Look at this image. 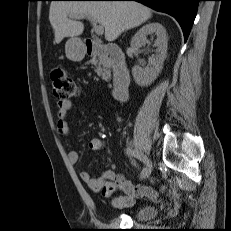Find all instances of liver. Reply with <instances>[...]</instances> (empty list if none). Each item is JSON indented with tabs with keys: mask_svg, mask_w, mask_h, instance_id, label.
I'll use <instances>...</instances> for the list:
<instances>
[{
	"mask_svg": "<svg viewBox=\"0 0 231 231\" xmlns=\"http://www.w3.org/2000/svg\"><path fill=\"white\" fill-rule=\"evenodd\" d=\"M79 14L92 17L103 26L109 42L146 22L152 15L148 7L133 1H52L49 21L57 44L65 37L83 33L84 24L71 19Z\"/></svg>",
	"mask_w": 231,
	"mask_h": 231,
	"instance_id": "liver-1",
	"label": "liver"
}]
</instances>
